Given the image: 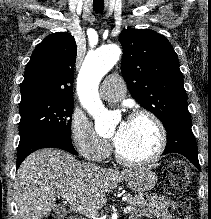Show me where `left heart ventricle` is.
<instances>
[{
	"label": "left heart ventricle",
	"instance_id": "obj_1",
	"mask_svg": "<svg viewBox=\"0 0 211 219\" xmlns=\"http://www.w3.org/2000/svg\"><path fill=\"white\" fill-rule=\"evenodd\" d=\"M118 128H114V136ZM157 141L158 133L154 124L147 118H139L127 122V129L117 148L129 159H143L154 152Z\"/></svg>",
	"mask_w": 211,
	"mask_h": 219
}]
</instances>
